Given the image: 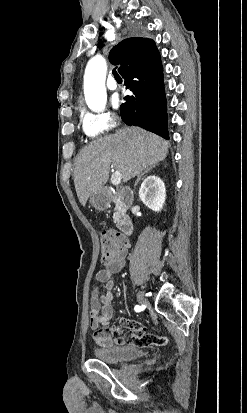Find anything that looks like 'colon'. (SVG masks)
Here are the masks:
<instances>
[{
	"label": "colon",
	"mask_w": 247,
	"mask_h": 413,
	"mask_svg": "<svg viewBox=\"0 0 247 413\" xmlns=\"http://www.w3.org/2000/svg\"><path fill=\"white\" fill-rule=\"evenodd\" d=\"M123 239V236L115 233H103L101 236L100 259L107 262L108 259L121 257L122 247L124 246Z\"/></svg>",
	"instance_id": "5ec220e1"
}]
</instances>
